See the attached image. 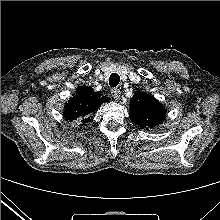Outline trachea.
<instances>
[{"instance_id": "3493384b", "label": "trachea", "mask_w": 220, "mask_h": 220, "mask_svg": "<svg viewBox=\"0 0 220 220\" xmlns=\"http://www.w3.org/2000/svg\"><path fill=\"white\" fill-rule=\"evenodd\" d=\"M120 77L116 73H112L109 78V84L111 87H116L119 84Z\"/></svg>"}]
</instances>
